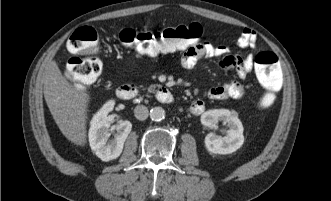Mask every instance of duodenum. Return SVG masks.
Returning a JSON list of instances; mask_svg holds the SVG:
<instances>
[{
	"mask_svg": "<svg viewBox=\"0 0 331 201\" xmlns=\"http://www.w3.org/2000/svg\"><path fill=\"white\" fill-rule=\"evenodd\" d=\"M116 94L122 100L132 99L138 94V87L133 83H125L117 88ZM156 98L163 104H170L174 100L173 94L165 86L157 87Z\"/></svg>",
	"mask_w": 331,
	"mask_h": 201,
	"instance_id": "1",
	"label": "duodenum"
}]
</instances>
